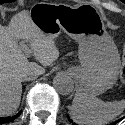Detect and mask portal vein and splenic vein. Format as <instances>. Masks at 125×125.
<instances>
[{
  "label": "portal vein and splenic vein",
  "instance_id": "obj_1",
  "mask_svg": "<svg viewBox=\"0 0 125 125\" xmlns=\"http://www.w3.org/2000/svg\"><path fill=\"white\" fill-rule=\"evenodd\" d=\"M20 45H21V48L23 49L25 55L27 57H29V55L31 54V50L29 49V47L27 45H25L23 42Z\"/></svg>",
  "mask_w": 125,
  "mask_h": 125
}]
</instances>
